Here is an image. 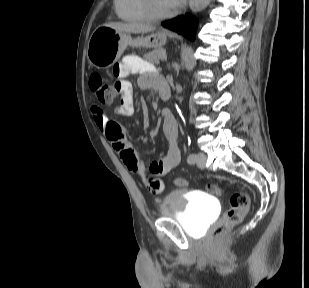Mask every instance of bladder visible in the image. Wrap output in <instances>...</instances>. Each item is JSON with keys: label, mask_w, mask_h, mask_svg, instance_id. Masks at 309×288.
Instances as JSON below:
<instances>
[{"label": "bladder", "mask_w": 309, "mask_h": 288, "mask_svg": "<svg viewBox=\"0 0 309 288\" xmlns=\"http://www.w3.org/2000/svg\"><path fill=\"white\" fill-rule=\"evenodd\" d=\"M218 204L212 195H202L185 190L167 193L159 205L163 218H175L187 231L201 233L212 222Z\"/></svg>", "instance_id": "obj_1"}]
</instances>
